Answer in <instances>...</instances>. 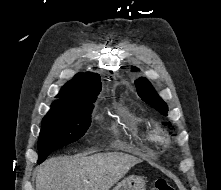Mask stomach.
Segmentation results:
<instances>
[{
  "instance_id": "1",
  "label": "stomach",
  "mask_w": 221,
  "mask_h": 190,
  "mask_svg": "<svg viewBox=\"0 0 221 190\" xmlns=\"http://www.w3.org/2000/svg\"><path fill=\"white\" fill-rule=\"evenodd\" d=\"M113 190H146L145 180L136 175L124 178Z\"/></svg>"
}]
</instances>
